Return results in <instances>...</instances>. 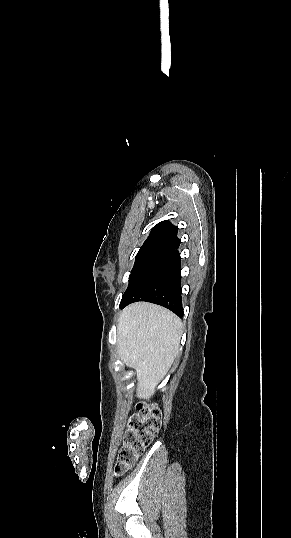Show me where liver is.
Segmentation results:
<instances>
[{"instance_id": "6515ba94", "label": "liver", "mask_w": 291, "mask_h": 538, "mask_svg": "<svg viewBox=\"0 0 291 538\" xmlns=\"http://www.w3.org/2000/svg\"><path fill=\"white\" fill-rule=\"evenodd\" d=\"M182 322L158 305L138 302L124 308L118 320V355L136 372L141 397L155 393L180 351Z\"/></svg>"}]
</instances>
